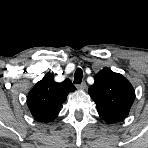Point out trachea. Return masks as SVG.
Masks as SVG:
<instances>
[{"label": "trachea", "instance_id": "1", "mask_svg": "<svg viewBox=\"0 0 148 148\" xmlns=\"http://www.w3.org/2000/svg\"><path fill=\"white\" fill-rule=\"evenodd\" d=\"M83 79V71L80 68H77L74 74V83L81 84Z\"/></svg>", "mask_w": 148, "mask_h": 148}]
</instances>
